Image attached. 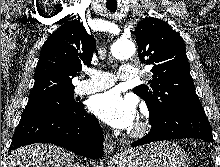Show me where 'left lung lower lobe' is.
Masks as SVG:
<instances>
[{"label": "left lung lower lobe", "mask_w": 220, "mask_h": 167, "mask_svg": "<svg viewBox=\"0 0 220 167\" xmlns=\"http://www.w3.org/2000/svg\"><path fill=\"white\" fill-rule=\"evenodd\" d=\"M152 125L148 135L131 144L139 146L154 141L198 138L213 143L211 126L201 104L174 103L163 113L149 114Z\"/></svg>", "instance_id": "1"}]
</instances>
